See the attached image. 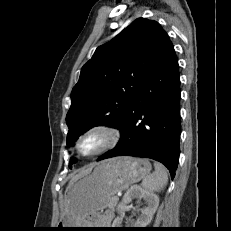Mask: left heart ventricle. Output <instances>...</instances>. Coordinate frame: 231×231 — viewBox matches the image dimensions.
I'll return each mask as SVG.
<instances>
[{
	"instance_id": "1",
	"label": "left heart ventricle",
	"mask_w": 231,
	"mask_h": 231,
	"mask_svg": "<svg viewBox=\"0 0 231 231\" xmlns=\"http://www.w3.org/2000/svg\"><path fill=\"white\" fill-rule=\"evenodd\" d=\"M107 142V136L102 132H95L85 136L79 144L83 154H91L102 148Z\"/></svg>"
}]
</instances>
